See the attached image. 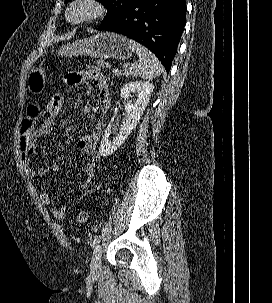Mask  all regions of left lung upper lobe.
Instances as JSON below:
<instances>
[{
	"mask_svg": "<svg viewBox=\"0 0 272 303\" xmlns=\"http://www.w3.org/2000/svg\"><path fill=\"white\" fill-rule=\"evenodd\" d=\"M70 0H65L68 2ZM108 8V13L101 24L115 18L134 5L138 0H100Z\"/></svg>",
	"mask_w": 272,
	"mask_h": 303,
	"instance_id": "5c2ea615",
	"label": "left lung upper lobe"
}]
</instances>
